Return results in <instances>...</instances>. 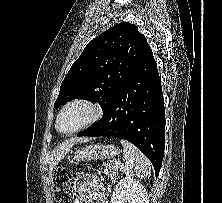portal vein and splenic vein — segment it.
Returning a JSON list of instances; mask_svg holds the SVG:
<instances>
[{"label": "portal vein and splenic vein", "mask_w": 222, "mask_h": 203, "mask_svg": "<svg viewBox=\"0 0 222 203\" xmlns=\"http://www.w3.org/2000/svg\"><path fill=\"white\" fill-rule=\"evenodd\" d=\"M116 165H118V167H120V162L116 161ZM121 168V167H120Z\"/></svg>", "instance_id": "18ae733b"}]
</instances>
